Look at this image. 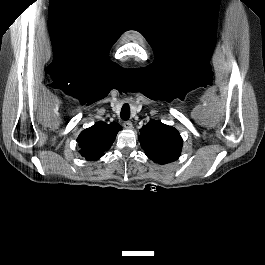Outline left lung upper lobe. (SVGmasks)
Returning a JSON list of instances; mask_svg holds the SVG:
<instances>
[{"label":"left lung upper lobe","instance_id":"5c2ea615","mask_svg":"<svg viewBox=\"0 0 265 265\" xmlns=\"http://www.w3.org/2000/svg\"><path fill=\"white\" fill-rule=\"evenodd\" d=\"M138 139L145 154L159 164L177 160L183 145V140L174 127L156 120L150 121L140 129Z\"/></svg>","mask_w":265,"mask_h":265}]
</instances>
